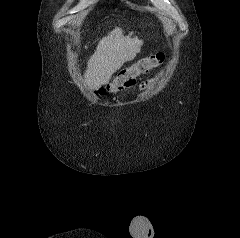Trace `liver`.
<instances>
[{
	"label": "liver",
	"instance_id": "obj_1",
	"mask_svg": "<svg viewBox=\"0 0 240 238\" xmlns=\"http://www.w3.org/2000/svg\"><path fill=\"white\" fill-rule=\"evenodd\" d=\"M143 41L132 37V33L124 36L121 28H115L103 37L87 62L85 83L89 89H98L109 83L112 75L122 65L133 60L140 51Z\"/></svg>",
	"mask_w": 240,
	"mask_h": 238
}]
</instances>
